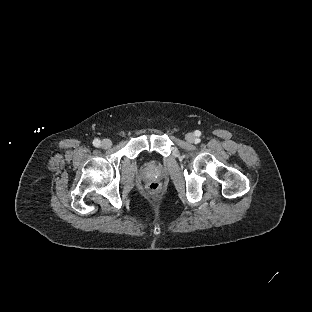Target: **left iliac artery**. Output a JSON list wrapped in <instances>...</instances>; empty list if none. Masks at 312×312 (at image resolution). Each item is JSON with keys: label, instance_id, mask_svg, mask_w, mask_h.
I'll return each instance as SVG.
<instances>
[{"label": "left iliac artery", "instance_id": "44dca946", "mask_svg": "<svg viewBox=\"0 0 312 312\" xmlns=\"http://www.w3.org/2000/svg\"><path fill=\"white\" fill-rule=\"evenodd\" d=\"M195 134H196L197 136H200V135H201V132H200V131H196Z\"/></svg>", "mask_w": 312, "mask_h": 312}]
</instances>
